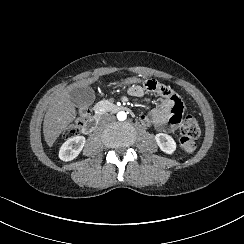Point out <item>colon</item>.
<instances>
[{
	"mask_svg": "<svg viewBox=\"0 0 244 244\" xmlns=\"http://www.w3.org/2000/svg\"><path fill=\"white\" fill-rule=\"evenodd\" d=\"M87 114L86 110L81 112V117ZM80 119V118H79ZM78 130L77 125H71L68 128V133H75ZM179 147L186 153H192L196 149V137L200 134L199 123L191 116L185 115L179 124Z\"/></svg>",
	"mask_w": 244,
	"mask_h": 244,
	"instance_id": "obj_1",
	"label": "colon"
}]
</instances>
